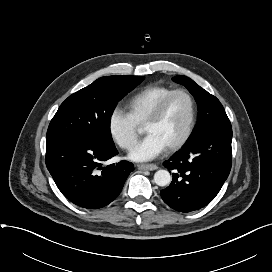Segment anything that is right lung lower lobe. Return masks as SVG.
Here are the masks:
<instances>
[{
	"instance_id": "1",
	"label": "right lung lower lobe",
	"mask_w": 272,
	"mask_h": 272,
	"mask_svg": "<svg viewBox=\"0 0 272 272\" xmlns=\"http://www.w3.org/2000/svg\"><path fill=\"white\" fill-rule=\"evenodd\" d=\"M117 154L115 145L106 146L94 138L65 139L46 146V166L68 200L83 208L98 209L120 194L134 170L127 161L103 166Z\"/></svg>"
}]
</instances>
